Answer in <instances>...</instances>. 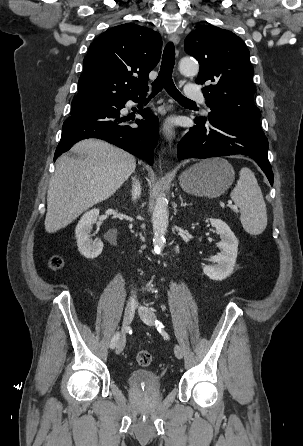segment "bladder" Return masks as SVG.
Returning a JSON list of instances; mask_svg holds the SVG:
<instances>
[{"label": "bladder", "mask_w": 303, "mask_h": 446, "mask_svg": "<svg viewBox=\"0 0 303 446\" xmlns=\"http://www.w3.org/2000/svg\"><path fill=\"white\" fill-rule=\"evenodd\" d=\"M127 384L132 388L158 389L161 386V379L152 371L134 369L127 376Z\"/></svg>", "instance_id": "obj_1"}]
</instances>
